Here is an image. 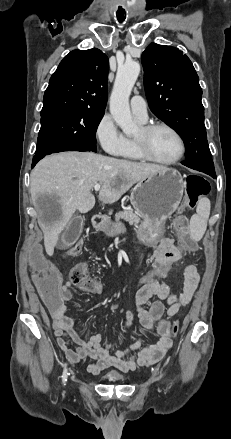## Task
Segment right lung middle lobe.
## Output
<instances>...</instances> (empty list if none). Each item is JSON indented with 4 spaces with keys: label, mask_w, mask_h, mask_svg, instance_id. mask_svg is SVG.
I'll list each match as a JSON object with an SVG mask.
<instances>
[{
    "label": "right lung middle lobe",
    "mask_w": 231,
    "mask_h": 439,
    "mask_svg": "<svg viewBox=\"0 0 231 439\" xmlns=\"http://www.w3.org/2000/svg\"><path fill=\"white\" fill-rule=\"evenodd\" d=\"M103 115L104 111L71 110L41 117L35 154L96 152V130Z\"/></svg>",
    "instance_id": "right-lung-middle-lobe-1"
}]
</instances>
